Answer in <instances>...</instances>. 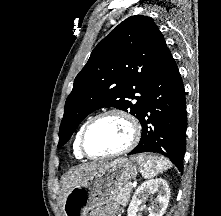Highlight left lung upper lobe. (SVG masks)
<instances>
[{
	"mask_svg": "<svg viewBox=\"0 0 221 216\" xmlns=\"http://www.w3.org/2000/svg\"><path fill=\"white\" fill-rule=\"evenodd\" d=\"M166 49L164 37L151 17L134 15L113 29L94 48L74 80L65 103L58 147L99 108L129 110L140 119L151 75Z\"/></svg>",
	"mask_w": 221,
	"mask_h": 216,
	"instance_id": "1",
	"label": "left lung upper lobe"
}]
</instances>
